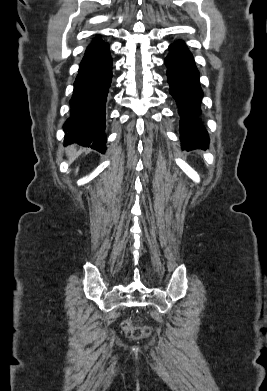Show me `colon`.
<instances>
[{
  "mask_svg": "<svg viewBox=\"0 0 267 391\" xmlns=\"http://www.w3.org/2000/svg\"><path fill=\"white\" fill-rule=\"evenodd\" d=\"M122 329L128 336L132 338H141L143 336H147L150 333V329L148 327L138 326L131 320L124 321L122 323Z\"/></svg>",
  "mask_w": 267,
  "mask_h": 391,
  "instance_id": "colon-1",
  "label": "colon"
}]
</instances>
